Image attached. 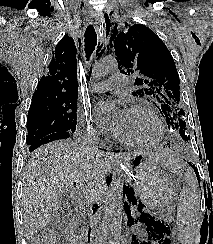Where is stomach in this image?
<instances>
[{"mask_svg":"<svg viewBox=\"0 0 213 244\" xmlns=\"http://www.w3.org/2000/svg\"><path fill=\"white\" fill-rule=\"evenodd\" d=\"M163 166L161 162L139 154L129 161V170L124 174L128 183L135 187L139 198L150 209H167L179 193V184Z\"/></svg>","mask_w":213,"mask_h":244,"instance_id":"stomach-1","label":"stomach"}]
</instances>
